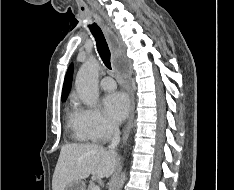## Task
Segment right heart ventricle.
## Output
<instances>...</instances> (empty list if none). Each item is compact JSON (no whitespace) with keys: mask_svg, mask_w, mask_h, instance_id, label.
I'll return each instance as SVG.
<instances>
[{"mask_svg":"<svg viewBox=\"0 0 234 190\" xmlns=\"http://www.w3.org/2000/svg\"><path fill=\"white\" fill-rule=\"evenodd\" d=\"M78 109L70 107L67 110L68 125L71 130L74 132L75 137L81 141H90L92 140L89 135H87L80 127L77 117Z\"/></svg>","mask_w":234,"mask_h":190,"instance_id":"e07e8e85","label":"right heart ventricle"}]
</instances>
